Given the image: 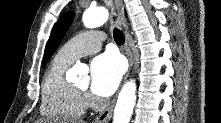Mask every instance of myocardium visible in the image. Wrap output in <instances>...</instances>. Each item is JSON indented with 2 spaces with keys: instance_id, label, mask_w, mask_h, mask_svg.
<instances>
[{
  "instance_id": "f54148a6",
  "label": "myocardium",
  "mask_w": 221,
  "mask_h": 123,
  "mask_svg": "<svg viewBox=\"0 0 221 123\" xmlns=\"http://www.w3.org/2000/svg\"><path fill=\"white\" fill-rule=\"evenodd\" d=\"M74 87L81 95H83V96L87 95V89H81L77 86H74Z\"/></svg>"
}]
</instances>
